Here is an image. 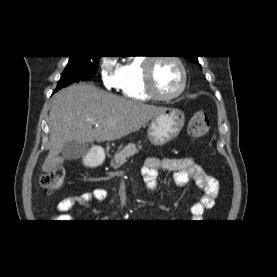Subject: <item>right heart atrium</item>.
<instances>
[{"instance_id":"obj_1","label":"right heart atrium","mask_w":277,"mask_h":277,"mask_svg":"<svg viewBox=\"0 0 277 277\" xmlns=\"http://www.w3.org/2000/svg\"><path fill=\"white\" fill-rule=\"evenodd\" d=\"M100 76L102 84L106 89H119L121 82L119 69L108 57H103L100 61Z\"/></svg>"}]
</instances>
